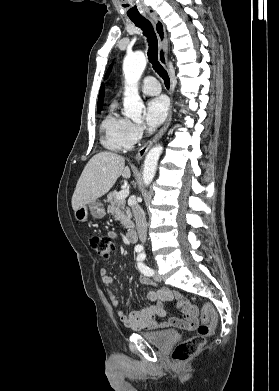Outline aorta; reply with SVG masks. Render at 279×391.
Instances as JSON below:
<instances>
[{
  "instance_id": "762f6f07",
  "label": "aorta",
  "mask_w": 279,
  "mask_h": 391,
  "mask_svg": "<svg viewBox=\"0 0 279 391\" xmlns=\"http://www.w3.org/2000/svg\"><path fill=\"white\" fill-rule=\"evenodd\" d=\"M146 67V57L142 51L127 55L123 61L125 77L124 114L134 121L141 119L144 103L138 93V81ZM163 151L162 145H156L147 153L143 165V182L148 186L156 173L158 160Z\"/></svg>"
}]
</instances>
